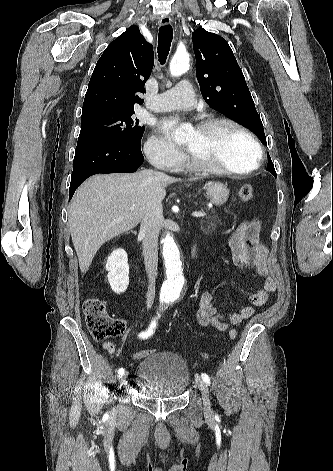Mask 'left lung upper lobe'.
Masks as SVG:
<instances>
[{"label": "left lung upper lobe", "instance_id": "1", "mask_svg": "<svg viewBox=\"0 0 333 471\" xmlns=\"http://www.w3.org/2000/svg\"><path fill=\"white\" fill-rule=\"evenodd\" d=\"M196 75L209 106L250 129L264 144L266 137L251 93L236 58L224 38L198 28L192 33ZM276 177L268 154L266 168Z\"/></svg>", "mask_w": 333, "mask_h": 471}]
</instances>
